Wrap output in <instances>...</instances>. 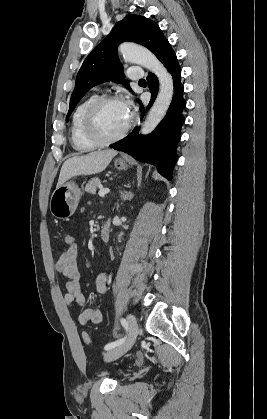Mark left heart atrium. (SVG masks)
Here are the masks:
<instances>
[{
	"label": "left heart atrium",
	"mask_w": 267,
	"mask_h": 419,
	"mask_svg": "<svg viewBox=\"0 0 267 419\" xmlns=\"http://www.w3.org/2000/svg\"><path fill=\"white\" fill-rule=\"evenodd\" d=\"M124 104H125L127 110L130 112L131 111L130 110V103L126 101V102H124Z\"/></svg>",
	"instance_id": "left-heart-atrium-1"
}]
</instances>
